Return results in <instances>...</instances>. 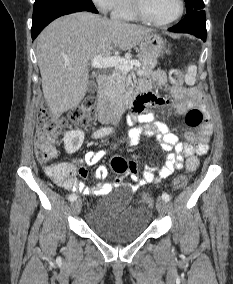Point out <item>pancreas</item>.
Instances as JSON below:
<instances>
[{
    "instance_id": "pancreas-1",
    "label": "pancreas",
    "mask_w": 233,
    "mask_h": 284,
    "mask_svg": "<svg viewBox=\"0 0 233 284\" xmlns=\"http://www.w3.org/2000/svg\"><path fill=\"white\" fill-rule=\"evenodd\" d=\"M130 60L129 58H126ZM140 67L138 72L141 75H149L152 73L153 68L156 65V61L139 55ZM126 77L127 72L117 69L111 76L109 85L104 94L105 99L108 101L110 107L122 106L127 102V91H126Z\"/></svg>"
}]
</instances>
